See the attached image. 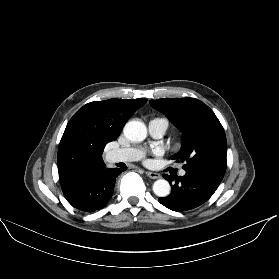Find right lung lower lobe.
I'll list each match as a JSON object with an SVG mask.
<instances>
[{"label":"right lung lower lobe","mask_w":279,"mask_h":279,"mask_svg":"<svg viewBox=\"0 0 279 279\" xmlns=\"http://www.w3.org/2000/svg\"><path fill=\"white\" fill-rule=\"evenodd\" d=\"M119 168H105L88 176L62 185V191L69 203L85 212L100 209L112 197Z\"/></svg>","instance_id":"1"}]
</instances>
